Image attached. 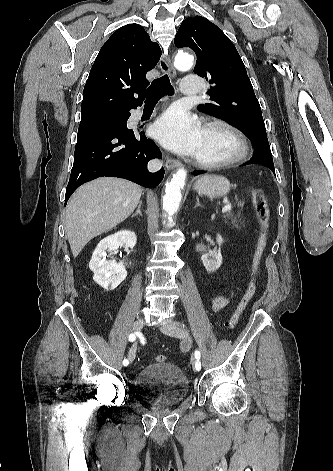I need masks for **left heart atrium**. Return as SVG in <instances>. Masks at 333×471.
Instances as JSON below:
<instances>
[{
    "label": "left heart atrium",
    "mask_w": 333,
    "mask_h": 471,
    "mask_svg": "<svg viewBox=\"0 0 333 471\" xmlns=\"http://www.w3.org/2000/svg\"><path fill=\"white\" fill-rule=\"evenodd\" d=\"M155 138L168 149L184 155H196L203 135L198 119L184 109L166 111L154 124Z\"/></svg>",
    "instance_id": "obj_1"
}]
</instances>
